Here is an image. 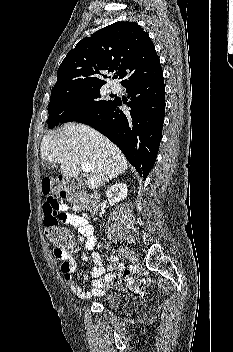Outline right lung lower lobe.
Returning <instances> with one entry per match:
<instances>
[{"label": "right lung lower lobe", "instance_id": "1", "mask_svg": "<svg viewBox=\"0 0 233 352\" xmlns=\"http://www.w3.org/2000/svg\"><path fill=\"white\" fill-rule=\"evenodd\" d=\"M131 110L124 113L115 98L105 108L77 122L89 125L116 144L143 179L154 166L165 112L163 72L126 84Z\"/></svg>", "mask_w": 233, "mask_h": 352}]
</instances>
